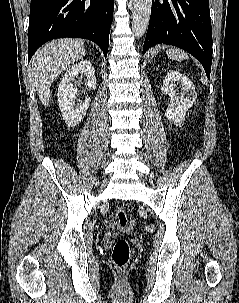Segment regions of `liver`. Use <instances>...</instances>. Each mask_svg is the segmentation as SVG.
<instances>
[{
  "label": "liver",
  "instance_id": "1",
  "mask_svg": "<svg viewBox=\"0 0 239 303\" xmlns=\"http://www.w3.org/2000/svg\"><path fill=\"white\" fill-rule=\"evenodd\" d=\"M81 39H59L42 46L31 59V77L41 102L50 101V87L56 77L85 55Z\"/></svg>",
  "mask_w": 239,
  "mask_h": 303
}]
</instances>
